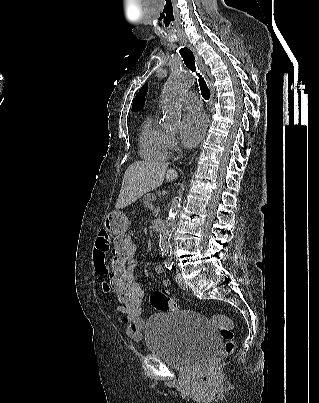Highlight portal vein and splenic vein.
I'll list each match as a JSON object with an SVG mask.
<instances>
[{
  "label": "portal vein and splenic vein",
  "instance_id": "portal-vein-and-splenic-vein-1",
  "mask_svg": "<svg viewBox=\"0 0 319 403\" xmlns=\"http://www.w3.org/2000/svg\"><path fill=\"white\" fill-rule=\"evenodd\" d=\"M154 208H155V206H154V205H151L150 209H151V210H154Z\"/></svg>",
  "mask_w": 319,
  "mask_h": 403
}]
</instances>
